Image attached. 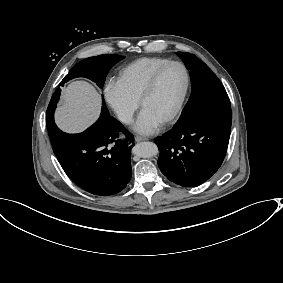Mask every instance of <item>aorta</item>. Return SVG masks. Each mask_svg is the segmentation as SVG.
<instances>
[{
	"mask_svg": "<svg viewBox=\"0 0 283 283\" xmlns=\"http://www.w3.org/2000/svg\"><path fill=\"white\" fill-rule=\"evenodd\" d=\"M157 145L153 142H141L133 148V154L142 158H151L158 154Z\"/></svg>",
	"mask_w": 283,
	"mask_h": 283,
	"instance_id": "1",
	"label": "aorta"
}]
</instances>
